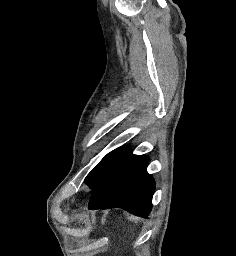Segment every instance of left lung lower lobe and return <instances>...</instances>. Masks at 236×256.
I'll use <instances>...</instances> for the list:
<instances>
[{
	"label": "left lung lower lobe",
	"instance_id": "0a47b994",
	"mask_svg": "<svg viewBox=\"0 0 236 256\" xmlns=\"http://www.w3.org/2000/svg\"><path fill=\"white\" fill-rule=\"evenodd\" d=\"M149 158L126 148L107 178L93 191L88 209L119 207L147 217L152 208L155 183L146 171Z\"/></svg>",
	"mask_w": 236,
	"mask_h": 256
}]
</instances>
